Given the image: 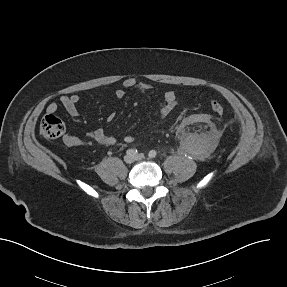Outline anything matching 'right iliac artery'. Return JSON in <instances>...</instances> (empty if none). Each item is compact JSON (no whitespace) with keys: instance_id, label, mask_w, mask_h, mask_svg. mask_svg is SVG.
<instances>
[{"instance_id":"1","label":"right iliac artery","mask_w":287,"mask_h":287,"mask_svg":"<svg viewBox=\"0 0 287 287\" xmlns=\"http://www.w3.org/2000/svg\"><path fill=\"white\" fill-rule=\"evenodd\" d=\"M126 153L127 155L135 156L136 154H138V151L136 149H128Z\"/></svg>"}]
</instances>
